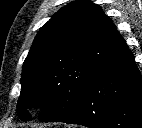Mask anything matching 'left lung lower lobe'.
Here are the masks:
<instances>
[{
	"mask_svg": "<svg viewBox=\"0 0 142 128\" xmlns=\"http://www.w3.org/2000/svg\"><path fill=\"white\" fill-rule=\"evenodd\" d=\"M58 122L89 128H142V79L126 45L83 89Z\"/></svg>",
	"mask_w": 142,
	"mask_h": 128,
	"instance_id": "obj_1",
	"label": "left lung lower lobe"
}]
</instances>
